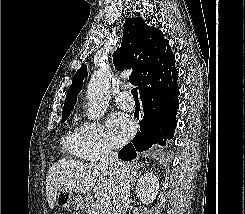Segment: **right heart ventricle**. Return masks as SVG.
Listing matches in <instances>:
<instances>
[{
    "label": "right heart ventricle",
    "mask_w": 245,
    "mask_h": 214,
    "mask_svg": "<svg viewBox=\"0 0 245 214\" xmlns=\"http://www.w3.org/2000/svg\"><path fill=\"white\" fill-rule=\"evenodd\" d=\"M77 128L78 127L68 130L66 134L62 137L61 144L64 151L70 156L83 158Z\"/></svg>",
    "instance_id": "e07e8e85"
}]
</instances>
